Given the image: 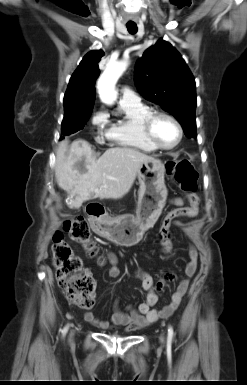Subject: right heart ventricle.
Returning <instances> with one entry per match:
<instances>
[{"label": "right heart ventricle", "mask_w": 247, "mask_h": 385, "mask_svg": "<svg viewBox=\"0 0 247 385\" xmlns=\"http://www.w3.org/2000/svg\"><path fill=\"white\" fill-rule=\"evenodd\" d=\"M120 111L121 117L110 125L106 137L115 145L155 152L157 148L146 138L142 128L144 118L152 109L141 102L120 103Z\"/></svg>", "instance_id": "obj_1"}]
</instances>
